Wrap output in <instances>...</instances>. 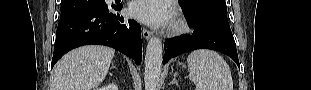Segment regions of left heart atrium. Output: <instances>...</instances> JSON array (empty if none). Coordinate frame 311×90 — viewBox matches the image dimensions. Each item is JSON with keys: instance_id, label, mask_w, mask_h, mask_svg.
Wrapping results in <instances>:
<instances>
[{"instance_id": "39dd6f15", "label": "left heart atrium", "mask_w": 311, "mask_h": 90, "mask_svg": "<svg viewBox=\"0 0 311 90\" xmlns=\"http://www.w3.org/2000/svg\"><path fill=\"white\" fill-rule=\"evenodd\" d=\"M131 15L140 22L153 27H164L172 22L169 5L161 0H136L130 5Z\"/></svg>"}]
</instances>
